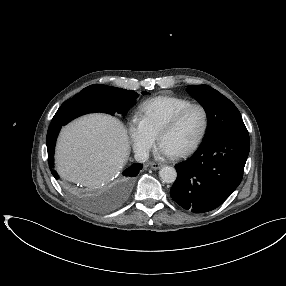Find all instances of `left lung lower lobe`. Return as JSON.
Returning <instances> with one entry per match:
<instances>
[{"label":"left lung lower lobe","instance_id":"0a47b994","mask_svg":"<svg viewBox=\"0 0 286 286\" xmlns=\"http://www.w3.org/2000/svg\"><path fill=\"white\" fill-rule=\"evenodd\" d=\"M249 150L248 134H223L202 142L190 158L175 165L172 199L194 213L217 208L240 184Z\"/></svg>","mask_w":286,"mask_h":286}]
</instances>
